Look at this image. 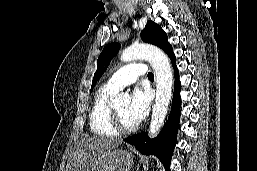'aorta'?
<instances>
[{
	"label": "aorta",
	"instance_id": "1",
	"mask_svg": "<svg viewBox=\"0 0 257 171\" xmlns=\"http://www.w3.org/2000/svg\"><path fill=\"white\" fill-rule=\"evenodd\" d=\"M136 59L148 60L156 74L157 92L149 127V136L153 138L159 132L168 111L173 84L172 69L165 53L152 45L133 44L123 50L121 61L129 62ZM129 101V95L124 93L114 99L117 104Z\"/></svg>",
	"mask_w": 257,
	"mask_h": 171
}]
</instances>
